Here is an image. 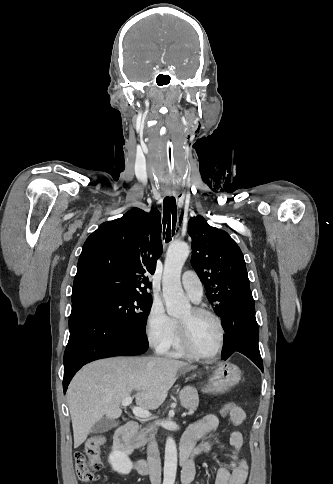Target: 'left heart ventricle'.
<instances>
[{
  "mask_svg": "<svg viewBox=\"0 0 333 484\" xmlns=\"http://www.w3.org/2000/svg\"><path fill=\"white\" fill-rule=\"evenodd\" d=\"M179 321L187 324L194 348L201 354H211L217 347L219 329L216 322L209 316L193 314L192 309L179 317Z\"/></svg>",
  "mask_w": 333,
  "mask_h": 484,
  "instance_id": "left-heart-ventricle-1",
  "label": "left heart ventricle"
}]
</instances>
